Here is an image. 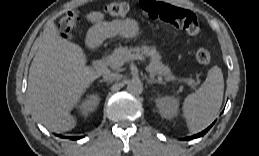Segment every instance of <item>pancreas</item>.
I'll use <instances>...</instances> for the list:
<instances>
[{
    "instance_id": "1",
    "label": "pancreas",
    "mask_w": 259,
    "mask_h": 156,
    "mask_svg": "<svg viewBox=\"0 0 259 156\" xmlns=\"http://www.w3.org/2000/svg\"><path fill=\"white\" fill-rule=\"evenodd\" d=\"M150 57V66L154 70V74L164 77L167 81L175 80L168 66H165L160 60L161 56L154 47L147 45L136 47H119L111 53L107 58V63L112 69L119 70L125 61L133 60L136 57Z\"/></svg>"
}]
</instances>
